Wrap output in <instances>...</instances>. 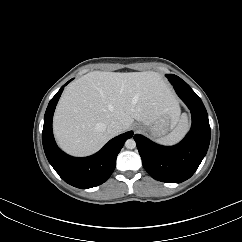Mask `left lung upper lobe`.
Returning <instances> with one entry per match:
<instances>
[{"instance_id": "5c2ea615", "label": "left lung upper lobe", "mask_w": 242, "mask_h": 242, "mask_svg": "<svg viewBox=\"0 0 242 242\" xmlns=\"http://www.w3.org/2000/svg\"><path fill=\"white\" fill-rule=\"evenodd\" d=\"M166 76L174 86H189L186 82H184L181 78H179L176 75L167 74Z\"/></svg>"}]
</instances>
